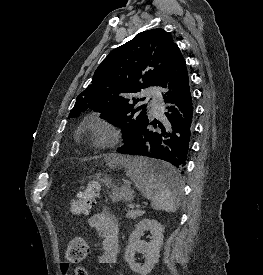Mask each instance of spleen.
<instances>
[{"label": "spleen", "instance_id": "obj_1", "mask_svg": "<svg viewBox=\"0 0 263 275\" xmlns=\"http://www.w3.org/2000/svg\"><path fill=\"white\" fill-rule=\"evenodd\" d=\"M127 176L138 190L152 202L155 210L175 212L179 208V195L182 184L179 180L174 186L158 180L152 174L153 162L143 157H129L121 161Z\"/></svg>", "mask_w": 263, "mask_h": 275}]
</instances>
